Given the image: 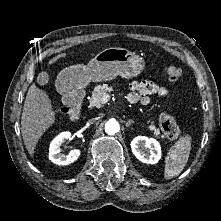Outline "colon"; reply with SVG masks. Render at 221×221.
Wrapping results in <instances>:
<instances>
[{
	"label": "colon",
	"mask_w": 221,
	"mask_h": 221,
	"mask_svg": "<svg viewBox=\"0 0 221 221\" xmlns=\"http://www.w3.org/2000/svg\"><path fill=\"white\" fill-rule=\"evenodd\" d=\"M164 77L170 82H177L182 76V69L176 64H170L163 68L162 70ZM67 112L66 108H61L56 111L57 115H63ZM160 126L163 133L170 140L178 139L182 130L175 122L174 118L168 113L163 112L160 116Z\"/></svg>",
	"instance_id": "colon-1"
}]
</instances>
